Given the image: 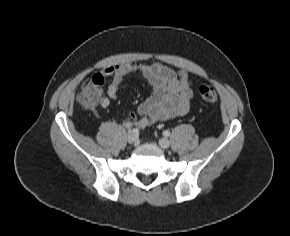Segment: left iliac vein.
<instances>
[{"label": "left iliac vein", "instance_id": "left-iliac-vein-1", "mask_svg": "<svg viewBox=\"0 0 290 236\" xmlns=\"http://www.w3.org/2000/svg\"><path fill=\"white\" fill-rule=\"evenodd\" d=\"M159 145L163 148V149H167L170 146V141L167 138H160L159 139Z\"/></svg>", "mask_w": 290, "mask_h": 236}]
</instances>
